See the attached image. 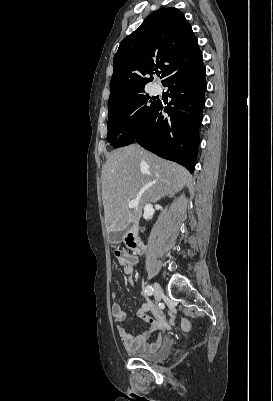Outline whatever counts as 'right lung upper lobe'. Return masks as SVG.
Segmentation results:
<instances>
[{"label":"right lung upper lobe","instance_id":"cb5924a9","mask_svg":"<svg viewBox=\"0 0 273 401\" xmlns=\"http://www.w3.org/2000/svg\"><path fill=\"white\" fill-rule=\"evenodd\" d=\"M202 59L191 25L176 8H161L123 39L114 56L108 107L144 92L158 68L163 83L179 66Z\"/></svg>","mask_w":273,"mask_h":401}]
</instances>
